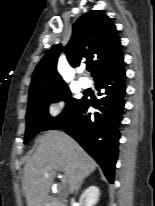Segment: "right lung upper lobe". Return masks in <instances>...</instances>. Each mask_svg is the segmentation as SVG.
<instances>
[{
  "label": "right lung upper lobe",
  "mask_w": 155,
  "mask_h": 206,
  "mask_svg": "<svg viewBox=\"0 0 155 206\" xmlns=\"http://www.w3.org/2000/svg\"><path fill=\"white\" fill-rule=\"evenodd\" d=\"M61 51L60 44L53 46L38 63L29 96L66 85L56 69ZM65 54L72 67L79 66L82 61L92 65L94 80L113 70L123 59L122 45L114 24L107 15L99 12L86 13L76 21Z\"/></svg>",
  "instance_id": "obj_1"
}]
</instances>
